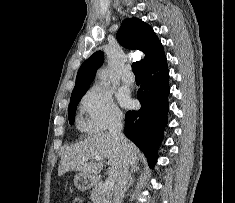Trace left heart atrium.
Instances as JSON below:
<instances>
[{
    "label": "left heart atrium",
    "mask_w": 235,
    "mask_h": 203,
    "mask_svg": "<svg viewBox=\"0 0 235 203\" xmlns=\"http://www.w3.org/2000/svg\"><path fill=\"white\" fill-rule=\"evenodd\" d=\"M119 100H120L121 104L124 105V106H130L131 105V100H130L129 96L125 93H121L119 95Z\"/></svg>",
    "instance_id": "1"
}]
</instances>
